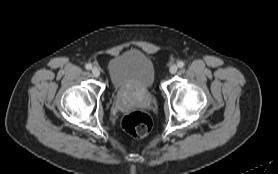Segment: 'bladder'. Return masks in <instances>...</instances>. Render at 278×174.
I'll list each match as a JSON object with an SVG mask.
<instances>
[{
	"instance_id": "31cf9c89",
	"label": "bladder",
	"mask_w": 278,
	"mask_h": 174,
	"mask_svg": "<svg viewBox=\"0 0 278 174\" xmlns=\"http://www.w3.org/2000/svg\"><path fill=\"white\" fill-rule=\"evenodd\" d=\"M108 73L113 90L121 95H147L154 85L153 64L136 49L113 57L108 63Z\"/></svg>"
}]
</instances>
